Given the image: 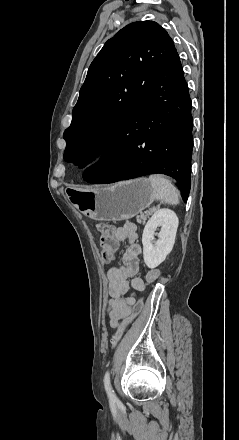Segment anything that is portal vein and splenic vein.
Returning a JSON list of instances; mask_svg holds the SVG:
<instances>
[{
    "mask_svg": "<svg viewBox=\"0 0 239 440\" xmlns=\"http://www.w3.org/2000/svg\"><path fill=\"white\" fill-rule=\"evenodd\" d=\"M162 205V203L160 202V203H157V206H161Z\"/></svg>",
    "mask_w": 239,
    "mask_h": 440,
    "instance_id": "obj_1",
    "label": "portal vein and splenic vein"
}]
</instances>
